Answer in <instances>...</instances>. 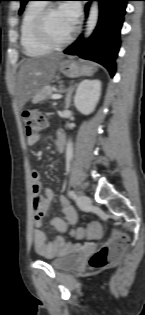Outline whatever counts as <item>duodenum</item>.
<instances>
[{
  "mask_svg": "<svg viewBox=\"0 0 145 315\" xmlns=\"http://www.w3.org/2000/svg\"><path fill=\"white\" fill-rule=\"evenodd\" d=\"M63 151H64L63 147L59 148V152H63Z\"/></svg>",
  "mask_w": 145,
  "mask_h": 315,
  "instance_id": "duodenum-1",
  "label": "duodenum"
}]
</instances>
